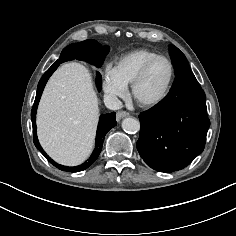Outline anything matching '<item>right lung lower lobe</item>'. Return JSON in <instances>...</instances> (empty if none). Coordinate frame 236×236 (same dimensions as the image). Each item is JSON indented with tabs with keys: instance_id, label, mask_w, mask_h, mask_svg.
Listing matches in <instances>:
<instances>
[{
	"instance_id": "right-lung-lower-lobe-1",
	"label": "right lung lower lobe",
	"mask_w": 236,
	"mask_h": 236,
	"mask_svg": "<svg viewBox=\"0 0 236 236\" xmlns=\"http://www.w3.org/2000/svg\"><path fill=\"white\" fill-rule=\"evenodd\" d=\"M109 52L108 46H101L97 41L95 40H85L80 43L71 44L70 46H67L61 53L59 59L52 64V66L44 73L42 78L40 79L37 87V93L36 98L34 101V105L31 111V120H32V126L34 131V144L36 148L47 158V160L56 166L58 169L62 171L67 172H79L87 169L89 166L93 164V162L98 158L101 150L102 145L104 141L105 135L108 133V131L117 125L116 122V113L112 112L109 114H104L100 116L98 128H97V135H96V143H95V149L89 158L87 162H84L83 164L75 167H68L63 166L60 164H57L55 161H53L42 149V147L39 144L37 134H36V112L38 103L41 97V94L43 92V89L45 87L46 82L48 81L49 77L52 75V73L57 69L59 64L73 60H84L87 61L93 65H96L97 67H100L104 61L105 56ZM98 89H101L102 85V77L98 73L96 78Z\"/></svg>"
}]
</instances>
